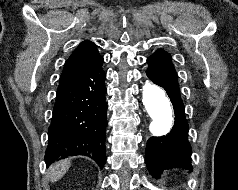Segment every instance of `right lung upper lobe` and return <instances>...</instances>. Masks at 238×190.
Here are the masks:
<instances>
[{"mask_svg": "<svg viewBox=\"0 0 238 190\" xmlns=\"http://www.w3.org/2000/svg\"><path fill=\"white\" fill-rule=\"evenodd\" d=\"M101 59L102 56L93 42L88 40L81 42L66 60L60 82L86 71Z\"/></svg>", "mask_w": 238, "mask_h": 190, "instance_id": "right-lung-upper-lobe-1", "label": "right lung upper lobe"}]
</instances>
